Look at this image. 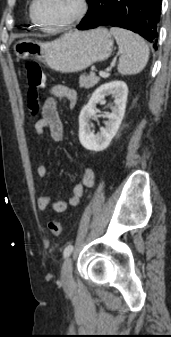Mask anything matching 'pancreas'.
I'll return each instance as SVG.
<instances>
[{
  "label": "pancreas",
  "instance_id": "obj_1",
  "mask_svg": "<svg viewBox=\"0 0 171 337\" xmlns=\"http://www.w3.org/2000/svg\"><path fill=\"white\" fill-rule=\"evenodd\" d=\"M100 78L95 75L94 72H91L89 75L82 74L79 77V84L81 88H92L98 84Z\"/></svg>",
  "mask_w": 171,
  "mask_h": 337
}]
</instances>
